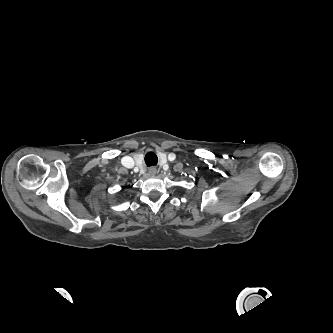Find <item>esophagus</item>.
<instances>
[{
	"instance_id": "esophagus-1",
	"label": "esophagus",
	"mask_w": 333,
	"mask_h": 333,
	"mask_svg": "<svg viewBox=\"0 0 333 333\" xmlns=\"http://www.w3.org/2000/svg\"><path fill=\"white\" fill-rule=\"evenodd\" d=\"M156 173H157V169H156L155 167H151V168L149 169V174H150L151 176H155Z\"/></svg>"
}]
</instances>
